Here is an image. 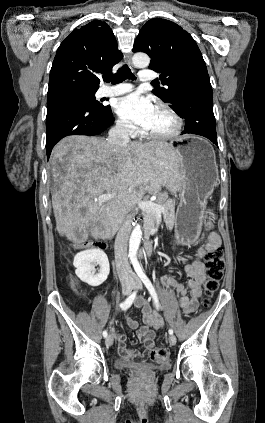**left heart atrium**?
<instances>
[{
  "label": "left heart atrium",
  "mask_w": 265,
  "mask_h": 423,
  "mask_svg": "<svg viewBox=\"0 0 265 423\" xmlns=\"http://www.w3.org/2000/svg\"><path fill=\"white\" fill-rule=\"evenodd\" d=\"M157 106L149 97L132 93L120 98L115 105L117 114L143 128H147Z\"/></svg>",
  "instance_id": "1"
}]
</instances>
